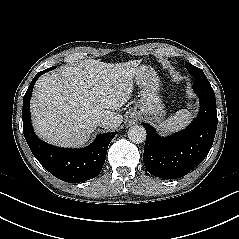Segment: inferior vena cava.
<instances>
[{"instance_id": "inferior-vena-cava-1", "label": "inferior vena cava", "mask_w": 239, "mask_h": 239, "mask_svg": "<svg viewBox=\"0 0 239 239\" xmlns=\"http://www.w3.org/2000/svg\"><path fill=\"white\" fill-rule=\"evenodd\" d=\"M98 124L100 126H105V125H108L110 123V118L109 117H100L98 120H97Z\"/></svg>"}]
</instances>
